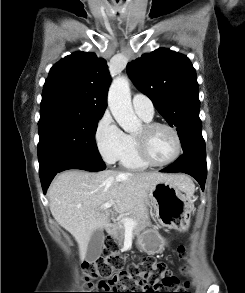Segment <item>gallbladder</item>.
<instances>
[{
  "instance_id": "bac80fb5",
  "label": "gallbladder",
  "mask_w": 245,
  "mask_h": 293,
  "mask_svg": "<svg viewBox=\"0 0 245 293\" xmlns=\"http://www.w3.org/2000/svg\"><path fill=\"white\" fill-rule=\"evenodd\" d=\"M104 243V232L101 229L95 230L89 240L87 251H86V260L88 262L96 261L102 252V246Z\"/></svg>"
}]
</instances>
